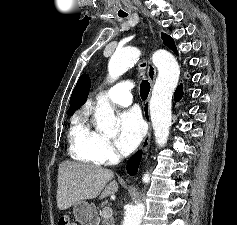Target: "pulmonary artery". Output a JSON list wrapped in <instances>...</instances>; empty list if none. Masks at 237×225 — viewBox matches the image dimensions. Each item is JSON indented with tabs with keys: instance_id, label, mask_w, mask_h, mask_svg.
<instances>
[{
	"instance_id": "obj_1",
	"label": "pulmonary artery",
	"mask_w": 237,
	"mask_h": 225,
	"mask_svg": "<svg viewBox=\"0 0 237 225\" xmlns=\"http://www.w3.org/2000/svg\"><path fill=\"white\" fill-rule=\"evenodd\" d=\"M133 85L128 81L119 82L97 96L98 101L107 100L120 106H129L132 103L131 90Z\"/></svg>"
}]
</instances>
